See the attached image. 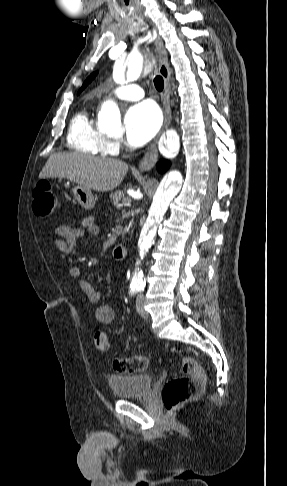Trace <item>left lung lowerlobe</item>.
<instances>
[{"label": "left lung lower lobe", "instance_id": "1", "mask_svg": "<svg viewBox=\"0 0 287 486\" xmlns=\"http://www.w3.org/2000/svg\"><path fill=\"white\" fill-rule=\"evenodd\" d=\"M168 166H169V163L167 161H160L157 169H158V171L163 172L168 168Z\"/></svg>", "mask_w": 287, "mask_h": 486}]
</instances>
